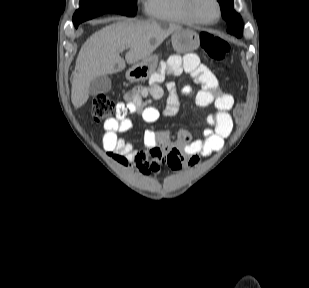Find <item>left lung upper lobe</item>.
<instances>
[{
    "instance_id": "left-lung-upper-lobe-1",
    "label": "left lung upper lobe",
    "mask_w": 309,
    "mask_h": 288,
    "mask_svg": "<svg viewBox=\"0 0 309 288\" xmlns=\"http://www.w3.org/2000/svg\"><path fill=\"white\" fill-rule=\"evenodd\" d=\"M221 7L223 18L226 20L229 28L227 32L236 36H242L243 22L241 16L233 9L234 0H217Z\"/></svg>"
}]
</instances>
